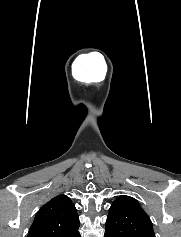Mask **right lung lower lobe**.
<instances>
[{
    "label": "right lung lower lobe",
    "instance_id": "obj_1",
    "mask_svg": "<svg viewBox=\"0 0 181 237\" xmlns=\"http://www.w3.org/2000/svg\"><path fill=\"white\" fill-rule=\"evenodd\" d=\"M78 237H81V236H80V233L78 234Z\"/></svg>",
    "mask_w": 181,
    "mask_h": 237
}]
</instances>
